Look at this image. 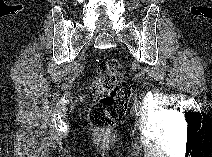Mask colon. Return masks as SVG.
<instances>
[{
    "mask_svg": "<svg viewBox=\"0 0 212 157\" xmlns=\"http://www.w3.org/2000/svg\"><path fill=\"white\" fill-rule=\"evenodd\" d=\"M123 67L115 58L107 59L89 83V91L98 101L89 111V121L100 131L110 130L125 115L132 88L122 79Z\"/></svg>",
    "mask_w": 212,
    "mask_h": 157,
    "instance_id": "colon-1",
    "label": "colon"
}]
</instances>
